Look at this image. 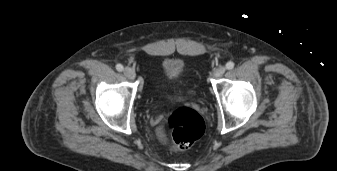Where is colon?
Returning <instances> with one entry per match:
<instances>
[{
	"instance_id": "5ec220e1",
	"label": "colon",
	"mask_w": 337,
	"mask_h": 171,
	"mask_svg": "<svg viewBox=\"0 0 337 171\" xmlns=\"http://www.w3.org/2000/svg\"><path fill=\"white\" fill-rule=\"evenodd\" d=\"M167 128L177 149H187L205 132L202 116L190 108H178L167 119Z\"/></svg>"
}]
</instances>
